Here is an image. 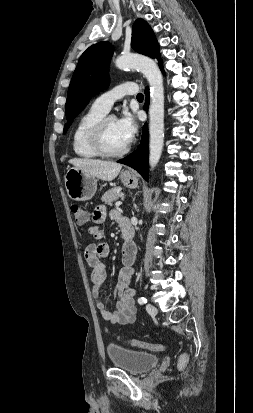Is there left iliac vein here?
I'll return each mask as SVG.
<instances>
[{
	"label": "left iliac vein",
	"instance_id": "1",
	"mask_svg": "<svg viewBox=\"0 0 253 413\" xmlns=\"http://www.w3.org/2000/svg\"><path fill=\"white\" fill-rule=\"evenodd\" d=\"M146 309H147L148 313L151 314V315H156L157 314L156 307L154 305L150 304V303H148L146 305Z\"/></svg>",
	"mask_w": 253,
	"mask_h": 413
}]
</instances>
